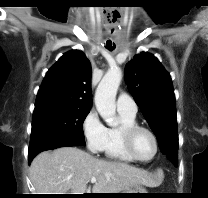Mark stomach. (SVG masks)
Instances as JSON below:
<instances>
[{"label":"stomach","instance_id":"0dacf381","mask_svg":"<svg viewBox=\"0 0 208 198\" xmlns=\"http://www.w3.org/2000/svg\"><path fill=\"white\" fill-rule=\"evenodd\" d=\"M120 197L122 198H143L145 197L143 193H148L144 187L141 185H136L120 192Z\"/></svg>","mask_w":208,"mask_h":198}]
</instances>
